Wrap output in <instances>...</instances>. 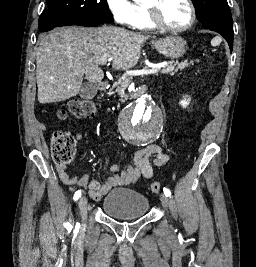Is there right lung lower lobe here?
Masks as SVG:
<instances>
[{
    "label": "right lung lower lobe",
    "mask_w": 256,
    "mask_h": 267,
    "mask_svg": "<svg viewBox=\"0 0 256 267\" xmlns=\"http://www.w3.org/2000/svg\"><path fill=\"white\" fill-rule=\"evenodd\" d=\"M101 23L99 22H70L65 24L64 26H68V25H81V26H86V27H94L97 26Z\"/></svg>",
    "instance_id": "1"
}]
</instances>
